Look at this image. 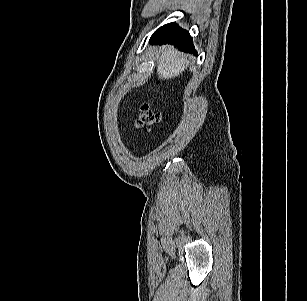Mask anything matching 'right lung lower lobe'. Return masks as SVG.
<instances>
[{
    "label": "right lung lower lobe",
    "mask_w": 307,
    "mask_h": 301,
    "mask_svg": "<svg viewBox=\"0 0 307 301\" xmlns=\"http://www.w3.org/2000/svg\"><path fill=\"white\" fill-rule=\"evenodd\" d=\"M150 42L159 44H173L185 52L196 53L188 31L180 28L176 23H169L160 27L150 38Z\"/></svg>",
    "instance_id": "98d812e1"
}]
</instances>
